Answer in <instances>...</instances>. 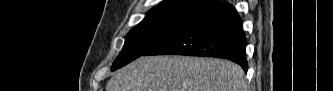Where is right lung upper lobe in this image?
Returning a JSON list of instances; mask_svg holds the SVG:
<instances>
[{
  "mask_svg": "<svg viewBox=\"0 0 333 91\" xmlns=\"http://www.w3.org/2000/svg\"><path fill=\"white\" fill-rule=\"evenodd\" d=\"M206 0H165L158 6L151 9L146 18L151 17H171L193 19L195 16L203 12L200 8ZM218 2V0H213Z\"/></svg>",
  "mask_w": 333,
  "mask_h": 91,
  "instance_id": "right-lung-upper-lobe-1",
  "label": "right lung upper lobe"
}]
</instances>
